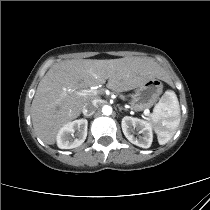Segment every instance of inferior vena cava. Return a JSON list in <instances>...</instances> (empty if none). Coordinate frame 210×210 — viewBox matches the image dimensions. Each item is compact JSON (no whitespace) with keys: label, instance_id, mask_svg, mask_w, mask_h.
<instances>
[{"label":"inferior vena cava","instance_id":"obj_1","mask_svg":"<svg viewBox=\"0 0 210 210\" xmlns=\"http://www.w3.org/2000/svg\"><path fill=\"white\" fill-rule=\"evenodd\" d=\"M98 108V104L95 100L86 103L83 106L82 112L84 116H91L95 113L96 109Z\"/></svg>","mask_w":210,"mask_h":210}]
</instances>
